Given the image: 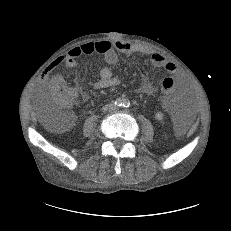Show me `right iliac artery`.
<instances>
[{"mask_svg":"<svg viewBox=\"0 0 231 231\" xmlns=\"http://www.w3.org/2000/svg\"><path fill=\"white\" fill-rule=\"evenodd\" d=\"M122 104H123V101L120 98L115 101L116 106H122Z\"/></svg>","mask_w":231,"mask_h":231,"instance_id":"1","label":"right iliac artery"}]
</instances>
